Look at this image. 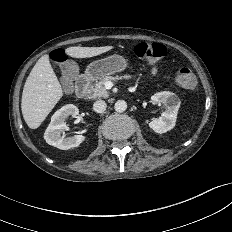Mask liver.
<instances>
[{"label":"liver","mask_w":232,"mask_h":232,"mask_svg":"<svg viewBox=\"0 0 232 232\" xmlns=\"http://www.w3.org/2000/svg\"><path fill=\"white\" fill-rule=\"evenodd\" d=\"M113 46L69 47L65 50L73 58H89L108 52ZM63 96L48 55L42 56L32 68L23 88L21 110L31 129L38 128Z\"/></svg>","instance_id":"6515ba94"}]
</instances>
